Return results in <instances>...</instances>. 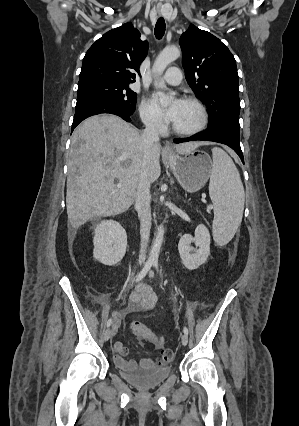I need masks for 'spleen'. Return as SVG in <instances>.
Segmentation results:
<instances>
[{
	"label": "spleen",
	"instance_id": "3e777b00",
	"mask_svg": "<svg viewBox=\"0 0 299 426\" xmlns=\"http://www.w3.org/2000/svg\"><path fill=\"white\" fill-rule=\"evenodd\" d=\"M212 155L209 194L214 206L213 237L223 246L241 224L245 193L239 171L230 156L217 147L212 149Z\"/></svg>",
	"mask_w": 299,
	"mask_h": 426
}]
</instances>
